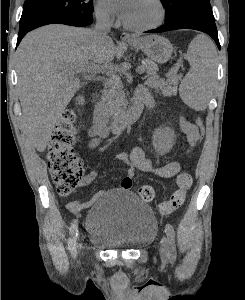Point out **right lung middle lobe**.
Returning a JSON list of instances; mask_svg holds the SVG:
<instances>
[{
  "instance_id": "dd1d6c3e",
  "label": "right lung middle lobe",
  "mask_w": 245,
  "mask_h": 300,
  "mask_svg": "<svg viewBox=\"0 0 245 300\" xmlns=\"http://www.w3.org/2000/svg\"><path fill=\"white\" fill-rule=\"evenodd\" d=\"M92 0H25L19 33L61 20L93 17Z\"/></svg>"
}]
</instances>
